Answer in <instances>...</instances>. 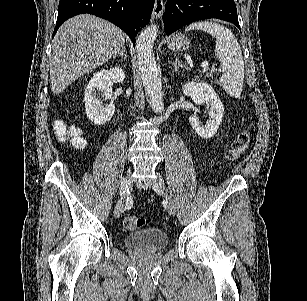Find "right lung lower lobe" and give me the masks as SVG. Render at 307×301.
I'll list each match as a JSON object with an SVG mask.
<instances>
[{"label": "right lung lower lobe", "mask_w": 307, "mask_h": 301, "mask_svg": "<svg viewBox=\"0 0 307 301\" xmlns=\"http://www.w3.org/2000/svg\"><path fill=\"white\" fill-rule=\"evenodd\" d=\"M153 7L154 0H60L53 35L70 17L90 13L118 26L135 45V37L149 23Z\"/></svg>", "instance_id": "right-lung-lower-lobe-1"}]
</instances>
